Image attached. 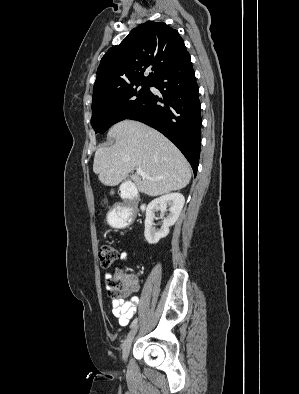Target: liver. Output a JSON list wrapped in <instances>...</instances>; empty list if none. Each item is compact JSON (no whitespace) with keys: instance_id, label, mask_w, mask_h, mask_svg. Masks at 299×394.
Here are the masks:
<instances>
[{"instance_id":"6515ba94","label":"liver","mask_w":299,"mask_h":394,"mask_svg":"<svg viewBox=\"0 0 299 394\" xmlns=\"http://www.w3.org/2000/svg\"><path fill=\"white\" fill-rule=\"evenodd\" d=\"M108 137L114 138L115 143L97 149L93 163V172L104 185H118L137 168L150 178L139 174H133L131 178L138 190L148 196L180 190L190 182L188 161L155 129L138 121L124 120L111 127Z\"/></svg>"}]
</instances>
